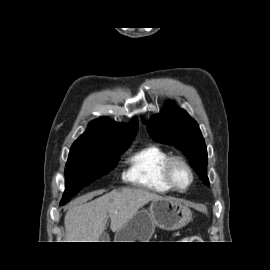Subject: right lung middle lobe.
<instances>
[{"label": "right lung middle lobe", "instance_id": "obj_1", "mask_svg": "<svg viewBox=\"0 0 270 270\" xmlns=\"http://www.w3.org/2000/svg\"><path fill=\"white\" fill-rule=\"evenodd\" d=\"M131 142L104 146H72L65 168L66 189L60 205L66 204L84 186L105 175Z\"/></svg>", "mask_w": 270, "mask_h": 270}]
</instances>
